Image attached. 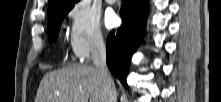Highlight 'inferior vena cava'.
<instances>
[{"label": "inferior vena cava", "instance_id": "1", "mask_svg": "<svg viewBox=\"0 0 221 102\" xmlns=\"http://www.w3.org/2000/svg\"><path fill=\"white\" fill-rule=\"evenodd\" d=\"M91 58L95 67L101 71L105 85L107 87L108 98L106 102H117V95L106 63V48L102 35L95 36L91 48Z\"/></svg>", "mask_w": 221, "mask_h": 102}]
</instances>
